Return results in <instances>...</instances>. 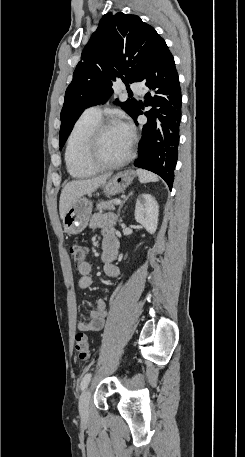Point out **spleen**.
<instances>
[{"label":"spleen","instance_id":"3e777b00","mask_svg":"<svg viewBox=\"0 0 245 457\" xmlns=\"http://www.w3.org/2000/svg\"><path fill=\"white\" fill-rule=\"evenodd\" d=\"M137 174L140 182H156L158 180L157 174L149 172V170H143V168H138Z\"/></svg>","mask_w":245,"mask_h":457}]
</instances>
